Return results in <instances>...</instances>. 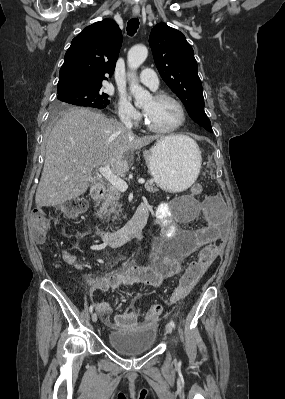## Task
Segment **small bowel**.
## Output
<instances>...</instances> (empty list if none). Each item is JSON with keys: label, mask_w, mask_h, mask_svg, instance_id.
I'll return each mask as SVG.
<instances>
[{"label": "small bowel", "mask_w": 285, "mask_h": 399, "mask_svg": "<svg viewBox=\"0 0 285 399\" xmlns=\"http://www.w3.org/2000/svg\"><path fill=\"white\" fill-rule=\"evenodd\" d=\"M192 199V197L187 196ZM220 201L216 197H207L199 205H186L185 217H178L172 212L169 202H160L156 205L154 216L159 227L160 236L153 241V255L149 266L125 267L114 271L110 275L88 282L89 290L101 289L105 292L123 286L157 287L169 278L181 277L184 272V260L197 251L201 258L204 247L220 241V227L224 216L219 208ZM140 205L146 206L148 213L150 204L143 201ZM201 215L205 225L201 228H183L180 223H193ZM74 260V258L72 259ZM176 289L170 298L171 304L183 300L190 290L179 295ZM142 297L133 295L127 312L110 317L111 305L109 302H99L94 309L103 323L115 330H129L138 327V315L135 311V302ZM152 323L153 321H148Z\"/></svg>", "instance_id": "small-bowel-1"}]
</instances>
